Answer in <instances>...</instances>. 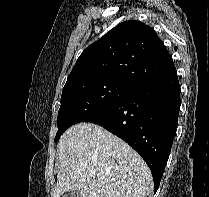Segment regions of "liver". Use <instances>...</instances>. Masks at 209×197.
I'll use <instances>...</instances> for the list:
<instances>
[{
	"label": "liver",
	"instance_id": "6515ba94",
	"mask_svg": "<svg viewBox=\"0 0 209 197\" xmlns=\"http://www.w3.org/2000/svg\"><path fill=\"white\" fill-rule=\"evenodd\" d=\"M60 163L53 197L77 190L81 197H147L149 167L121 138L93 123L71 126L58 142Z\"/></svg>",
	"mask_w": 209,
	"mask_h": 197
}]
</instances>
